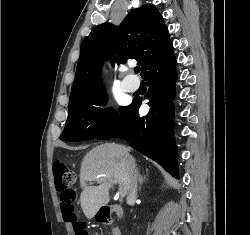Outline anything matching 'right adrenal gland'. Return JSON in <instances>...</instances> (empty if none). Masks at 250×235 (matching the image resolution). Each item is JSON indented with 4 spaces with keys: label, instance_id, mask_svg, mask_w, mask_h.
Returning a JSON list of instances; mask_svg holds the SVG:
<instances>
[{
    "label": "right adrenal gland",
    "instance_id": "1",
    "mask_svg": "<svg viewBox=\"0 0 250 235\" xmlns=\"http://www.w3.org/2000/svg\"><path fill=\"white\" fill-rule=\"evenodd\" d=\"M136 173H137V176H138V180H139V190H141V186H142V183L146 180V177L145 176H142L139 172V168L137 167L136 168Z\"/></svg>",
    "mask_w": 250,
    "mask_h": 235
}]
</instances>
